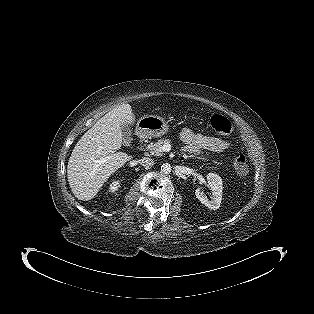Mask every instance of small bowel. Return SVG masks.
<instances>
[{
	"label": "small bowel",
	"mask_w": 314,
	"mask_h": 314,
	"mask_svg": "<svg viewBox=\"0 0 314 314\" xmlns=\"http://www.w3.org/2000/svg\"><path fill=\"white\" fill-rule=\"evenodd\" d=\"M180 138L186 144V149L193 154H218L232 146L231 141L198 134L189 128L181 130Z\"/></svg>",
	"instance_id": "small-bowel-1"
}]
</instances>
